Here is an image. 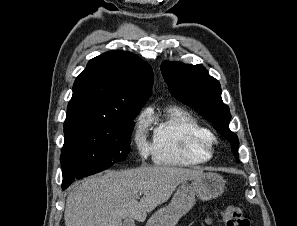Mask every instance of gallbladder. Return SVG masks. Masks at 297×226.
<instances>
[{"label": "gallbladder", "mask_w": 297, "mask_h": 226, "mask_svg": "<svg viewBox=\"0 0 297 226\" xmlns=\"http://www.w3.org/2000/svg\"><path fill=\"white\" fill-rule=\"evenodd\" d=\"M123 226H135V222L133 219L126 218L123 222Z\"/></svg>", "instance_id": "1"}]
</instances>
